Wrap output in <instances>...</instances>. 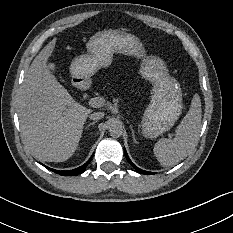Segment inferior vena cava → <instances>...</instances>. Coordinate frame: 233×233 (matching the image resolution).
<instances>
[{
	"label": "inferior vena cava",
	"mask_w": 233,
	"mask_h": 233,
	"mask_svg": "<svg viewBox=\"0 0 233 233\" xmlns=\"http://www.w3.org/2000/svg\"><path fill=\"white\" fill-rule=\"evenodd\" d=\"M104 117V112L98 111V112H93L89 115V118L91 120H100Z\"/></svg>",
	"instance_id": "602c4592"
}]
</instances>
